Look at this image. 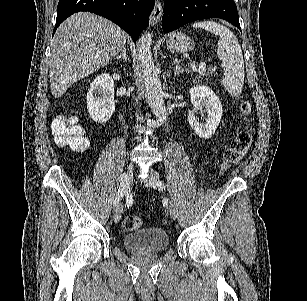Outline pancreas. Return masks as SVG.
Instances as JSON below:
<instances>
[{
	"label": "pancreas",
	"instance_id": "obj_1",
	"mask_svg": "<svg viewBox=\"0 0 307 301\" xmlns=\"http://www.w3.org/2000/svg\"><path fill=\"white\" fill-rule=\"evenodd\" d=\"M212 72H215L214 68H210V70H204V72H199L198 76L196 78H201V76H206V78H210V76H213Z\"/></svg>",
	"mask_w": 307,
	"mask_h": 301
}]
</instances>
